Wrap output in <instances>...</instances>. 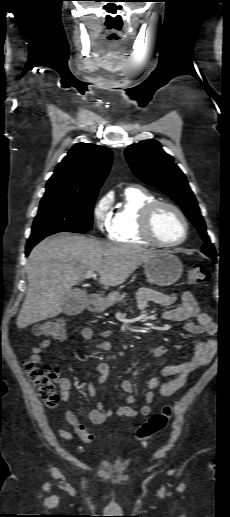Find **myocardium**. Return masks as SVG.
Segmentation results:
<instances>
[{
    "mask_svg": "<svg viewBox=\"0 0 230 517\" xmlns=\"http://www.w3.org/2000/svg\"><path fill=\"white\" fill-rule=\"evenodd\" d=\"M161 208H169L172 211H174L181 219L183 225H184V234L182 238L175 242H164L160 240L155 232H154V219L156 216V213ZM141 232L143 236L148 239L153 244L159 246V247H165V248H171L181 245L186 241L189 235V222L185 216V214L174 204L166 202V201H154L150 204H148L142 211L141 214Z\"/></svg>",
    "mask_w": 230,
    "mask_h": 517,
    "instance_id": "obj_1",
    "label": "myocardium"
}]
</instances>
